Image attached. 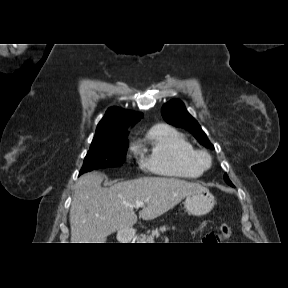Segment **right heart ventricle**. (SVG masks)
Wrapping results in <instances>:
<instances>
[{
    "label": "right heart ventricle",
    "mask_w": 288,
    "mask_h": 288,
    "mask_svg": "<svg viewBox=\"0 0 288 288\" xmlns=\"http://www.w3.org/2000/svg\"><path fill=\"white\" fill-rule=\"evenodd\" d=\"M139 148L142 165L154 174L178 179H196L203 175L204 170L192 159L193 145L171 126L157 124L150 128Z\"/></svg>",
    "instance_id": "obj_1"
}]
</instances>
